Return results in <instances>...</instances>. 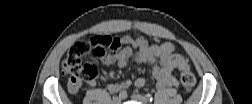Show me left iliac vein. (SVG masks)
<instances>
[{
	"instance_id": "1",
	"label": "left iliac vein",
	"mask_w": 252,
	"mask_h": 104,
	"mask_svg": "<svg viewBox=\"0 0 252 104\" xmlns=\"http://www.w3.org/2000/svg\"><path fill=\"white\" fill-rule=\"evenodd\" d=\"M132 99L138 101V102H141V103H146L147 101L145 100L144 96L141 95V94H133L131 96Z\"/></svg>"
}]
</instances>
